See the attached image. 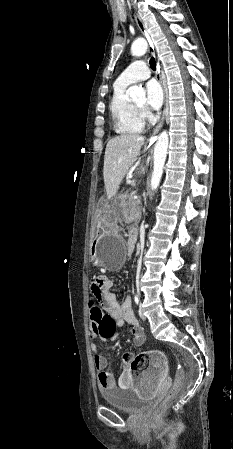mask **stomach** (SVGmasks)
Listing matches in <instances>:
<instances>
[{
	"label": "stomach",
	"mask_w": 233,
	"mask_h": 449,
	"mask_svg": "<svg viewBox=\"0 0 233 449\" xmlns=\"http://www.w3.org/2000/svg\"><path fill=\"white\" fill-rule=\"evenodd\" d=\"M99 210H114V201H99ZM118 212H94L93 220L98 221L97 238L91 242L92 259L98 266L111 271L119 270L124 262L125 245L116 233Z\"/></svg>",
	"instance_id": "stomach-1"
}]
</instances>
